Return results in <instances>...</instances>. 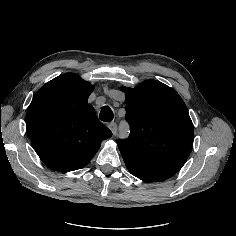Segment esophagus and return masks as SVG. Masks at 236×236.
Masks as SVG:
<instances>
[{
	"instance_id": "esophagus-1",
	"label": "esophagus",
	"mask_w": 236,
	"mask_h": 236,
	"mask_svg": "<svg viewBox=\"0 0 236 236\" xmlns=\"http://www.w3.org/2000/svg\"><path fill=\"white\" fill-rule=\"evenodd\" d=\"M108 128L112 131L113 135L117 133V124L115 122H111Z\"/></svg>"
}]
</instances>
